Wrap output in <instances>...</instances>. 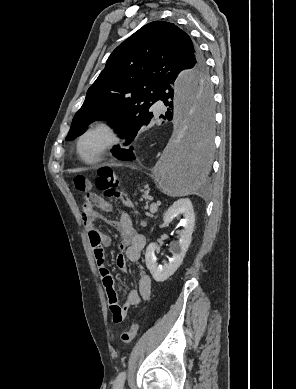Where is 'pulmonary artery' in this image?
Returning a JSON list of instances; mask_svg holds the SVG:
<instances>
[{"label": "pulmonary artery", "instance_id": "obj_1", "mask_svg": "<svg viewBox=\"0 0 296 389\" xmlns=\"http://www.w3.org/2000/svg\"><path fill=\"white\" fill-rule=\"evenodd\" d=\"M154 108L157 109V110H160L163 108V102L162 101H157L155 104H154Z\"/></svg>", "mask_w": 296, "mask_h": 389}]
</instances>
